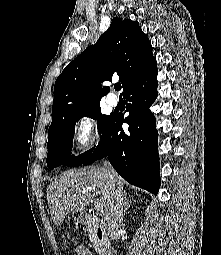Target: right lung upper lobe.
Segmentation results:
<instances>
[{
  "label": "right lung upper lobe",
  "mask_w": 221,
  "mask_h": 255,
  "mask_svg": "<svg viewBox=\"0 0 221 255\" xmlns=\"http://www.w3.org/2000/svg\"><path fill=\"white\" fill-rule=\"evenodd\" d=\"M153 59L149 38L138 22L113 18L97 43L71 61L57 78L48 132L66 115L100 102L109 91L101 82L111 81L117 74L125 90Z\"/></svg>",
  "instance_id": "1"
}]
</instances>
